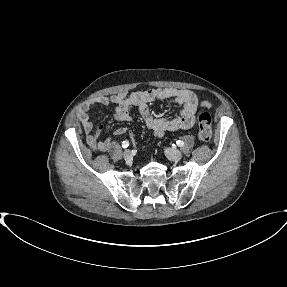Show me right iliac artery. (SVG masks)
I'll return each mask as SVG.
<instances>
[{
  "label": "right iliac artery",
  "instance_id": "82829eb1",
  "mask_svg": "<svg viewBox=\"0 0 287 287\" xmlns=\"http://www.w3.org/2000/svg\"><path fill=\"white\" fill-rule=\"evenodd\" d=\"M129 146V141H123L122 142V147L127 148Z\"/></svg>",
  "mask_w": 287,
  "mask_h": 287
}]
</instances>
